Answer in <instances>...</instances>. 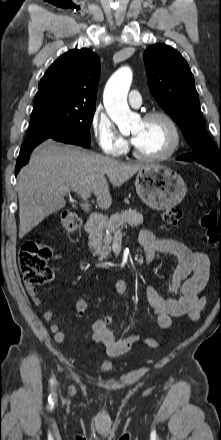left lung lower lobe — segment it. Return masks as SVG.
<instances>
[{"label": "left lung lower lobe", "instance_id": "left-lung-lower-lobe-1", "mask_svg": "<svg viewBox=\"0 0 221 440\" xmlns=\"http://www.w3.org/2000/svg\"><path fill=\"white\" fill-rule=\"evenodd\" d=\"M177 160H185V161H187L186 159H184L183 156H179V157H177ZM214 172H215V173L221 178V170H217V169H215Z\"/></svg>", "mask_w": 221, "mask_h": 440}]
</instances>
